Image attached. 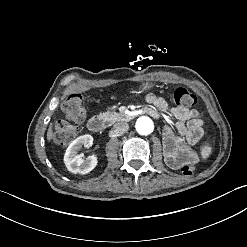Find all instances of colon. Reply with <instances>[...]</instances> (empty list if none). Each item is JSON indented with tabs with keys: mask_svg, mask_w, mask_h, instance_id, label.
Returning <instances> with one entry per match:
<instances>
[{
	"mask_svg": "<svg viewBox=\"0 0 247 247\" xmlns=\"http://www.w3.org/2000/svg\"><path fill=\"white\" fill-rule=\"evenodd\" d=\"M174 100L178 105L194 106L197 104V97L188 92L184 87H177L174 90ZM65 119L58 121L55 130V142L60 146L69 144L77 135V124L84 121L86 107L80 94H69L61 104ZM181 173L191 175L194 173L193 165H183Z\"/></svg>",
	"mask_w": 247,
	"mask_h": 247,
	"instance_id": "5ec220e1",
	"label": "colon"
}]
</instances>
